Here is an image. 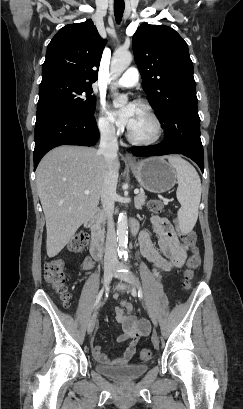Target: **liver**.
<instances>
[{
    "label": "liver",
    "mask_w": 243,
    "mask_h": 409,
    "mask_svg": "<svg viewBox=\"0 0 243 409\" xmlns=\"http://www.w3.org/2000/svg\"><path fill=\"white\" fill-rule=\"evenodd\" d=\"M113 169L118 175V157ZM105 171L103 155L92 147L62 145L40 161L36 186L46 219L48 257L56 256L97 208Z\"/></svg>",
    "instance_id": "liver-1"
}]
</instances>
